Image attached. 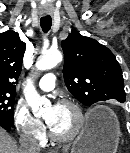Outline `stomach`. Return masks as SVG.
<instances>
[{"instance_id": "0dacf381", "label": "stomach", "mask_w": 130, "mask_h": 153, "mask_svg": "<svg viewBox=\"0 0 130 153\" xmlns=\"http://www.w3.org/2000/svg\"><path fill=\"white\" fill-rule=\"evenodd\" d=\"M120 125L113 111L98 106L74 142L71 153H116Z\"/></svg>"}]
</instances>
